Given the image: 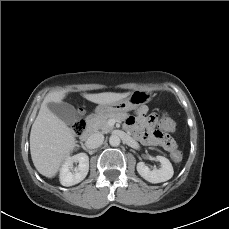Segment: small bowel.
Returning <instances> with one entry per match:
<instances>
[{
    "mask_svg": "<svg viewBox=\"0 0 229 229\" xmlns=\"http://www.w3.org/2000/svg\"><path fill=\"white\" fill-rule=\"evenodd\" d=\"M157 122V115L155 113H150L147 106H141L136 111L135 115L130 116L127 119L126 128L141 144L149 147H155L159 144V141L155 138L153 133V129L156 127ZM172 123L175 126L173 121Z\"/></svg>",
    "mask_w": 229,
    "mask_h": 229,
    "instance_id": "1",
    "label": "small bowel"
}]
</instances>
